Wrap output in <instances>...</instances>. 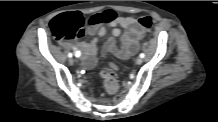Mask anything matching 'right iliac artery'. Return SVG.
Returning <instances> with one entry per match:
<instances>
[{
    "label": "right iliac artery",
    "mask_w": 218,
    "mask_h": 122,
    "mask_svg": "<svg viewBox=\"0 0 218 122\" xmlns=\"http://www.w3.org/2000/svg\"><path fill=\"white\" fill-rule=\"evenodd\" d=\"M68 57H70V58H71V57H72V53H69V54H68Z\"/></svg>",
    "instance_id": "right-iliac-artery-1"
}]
</instances>
